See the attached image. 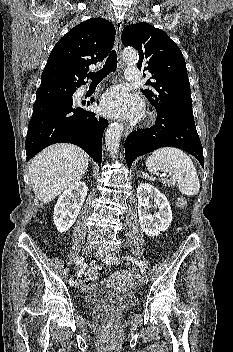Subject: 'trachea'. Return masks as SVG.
I'll list each match as a JSON object with an SVG mask.
<instances>
[{
    "instance_id": "trachea-1",
    "label": "trachea",
    "mask_w": 233,
    "mask_h": 352,
    "mask_svg": "<svg viewBox=\"0 0 233 352\" xmlns=\"http://www.w3.org/2000/svg\"><path fill=\"white\" fill-rule=\"evenodd\" d=\"M117 68V54L116 51L113 50L109 57L107 58L105 65L103 68L97 72L89 73L88 78L92 80V82H99L103 78H105L109 73L115 71Z\"/></svg>"
}]
</instances>
